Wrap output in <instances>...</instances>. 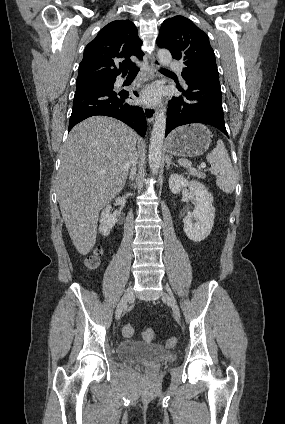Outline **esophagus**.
Listing matches in <instances>:
<instances>
[{
	"mask_svg": "<svg viewBox=\"0 0 285 424\" xmlns=\"http://www.w3.org/2000/svg\"><path fill=\"white\" fill-rule=\"evenodd\" d=\"M150 68H151V75H150L151 78L160 76V73H159L160 62L158 61L155 55L152 56ZM143 111H144L147 122L152 123L156 117L157 110L154 107H149L147 105H144Z\"/></svg>",
	"mask_w": 285,
	"mask_h": 424,
	"instance_id": "esophagus-1",
	"label": "esophagus"
}]
</instances>
